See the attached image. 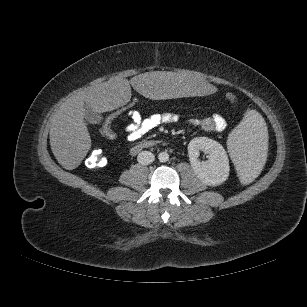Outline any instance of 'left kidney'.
<instances>
[{"instance_id": "1", "label": "left kidney", "mask_w": 307, "mask_h": 307, "mask_svg": "<svg viewBox=\"0 0 307 307\" xmlns=\"http://www.w3.org/2000/svg\"><path fill=\"white\" fill-rule=\"evenodd\" d=\"M209 154L207 161H200L199 151ZM188 154L192 169L207 185H219L229 176V160L223 146L207 137H196L188 144Z\"/></svg>"}]
</instances>
